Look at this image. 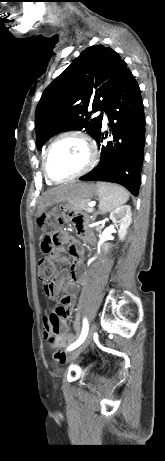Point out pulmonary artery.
Masks as SVG:
<instances>
[{"mask_svg": "<svg viewBox=\"0 0 165 461\" xmlns=\"http://www.w3.org/2000/svg\"><path fill=\"white\" fill-rule=\"evenodd\" d=\"M103 124L107 125L108 124V119L106 115H103Z\"/></svg>", "mask_w": 165, "mask_h": 461, "instance_id": "e3ab8cb5", "label": "pulmonary artery"}]
</instances>
